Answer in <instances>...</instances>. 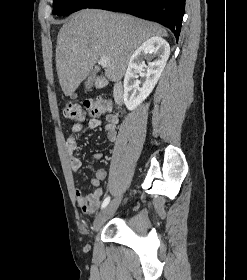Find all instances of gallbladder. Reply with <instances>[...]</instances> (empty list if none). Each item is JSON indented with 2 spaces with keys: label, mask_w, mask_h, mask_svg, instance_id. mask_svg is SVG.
<instances>
[{
  "label": "gallbladder",
  "mask_w": 247,
  "mask_h": 280,
  "mask_svg": "<svg viewBox=\"0 0 247 280\" xmlns=\"http://www.w3.org/2000/svg\"><path fill=\"white\" fill-rule=\"evenodd\" d=\"M95 74H96V70L92 69L89 73V76H88V79L87 81L85 82V88L86 90H90L93 86V82H94V79H95ZM73 99L76 98L75 95H73L72 97Z\"/></svg>",
  "instance_id": "gallbladder-1"
}]
</instances>
